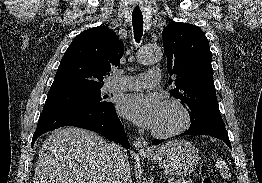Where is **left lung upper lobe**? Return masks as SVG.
Instances as JSON below:
<instances>
[{
	"instance_id": "1",
	"label": "left lung upper lobe",
	"mask_w": 262,
	"mask_h": 183,
	"mask_svg": "<svg viewBox=\"0 0 262 183\" xmlns=\"http://www.w3.org/2000/svg\"><path fill=\"white\" fill-rule=\"evenodd\" d=\"M169 83L176 85L170 94L186 107L190 128L205 123L223 122L218 110L211 65L209 41L197 26L170 22L163 30Z\"/></svg>"
}]
</instances>
